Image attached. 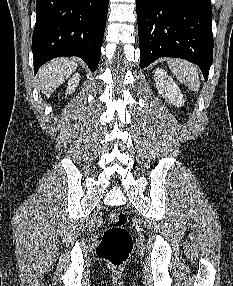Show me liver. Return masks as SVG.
Masks as SVG:
<instances>
[{
  "label": "liver",
  "instance_id": "6515ba94",
  "mask_svg": "<svg viewBox=\"0 0 233 286\" xmlns=\"http://www.w3.org/2000/svg\"><path fill=\"white\" fill-rule=\"evenodd\" d=\"M78 61L74 58H58L42 66L37 74L39 89L49 97L75 71Z\"/></svg>",
  "mask_w": 233,
  "mask_h": 286
}]
</instances>
